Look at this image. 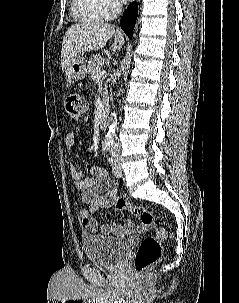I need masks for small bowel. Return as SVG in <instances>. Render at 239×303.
<instances>
[{"label":"small bowel","mask_w":239,"mask_h":303,"mask_svg":"<svg viewBox=\"0 0 239 303\" xmlns=\"http://www.w3.org/2000/svg\"><path fill=\"white\" fill-rule=\"evenodd\" d=\"M77 135L74 131L69 132L65 138V145L67 149L72 150L76 146ZM92 176L84 178L81 171L75 166H70V174L74 181L75 187L81 191L82 201L90 203L92 208L99 210L101 208H109L112 205L108 202L98 198L99 193L107 191L114 193L116 191V184L110 178L108 171L101 165H94L89 168ZM82 222L84 226L91 232H97L98 222L90 216L86 210L81 211ZM135 229L134 222L128 220L124 226L120 224H103L100 231L103 234H121L124 231H133Z\"/></svg>","instance_id":"c3829d8e"}]
</instances>
